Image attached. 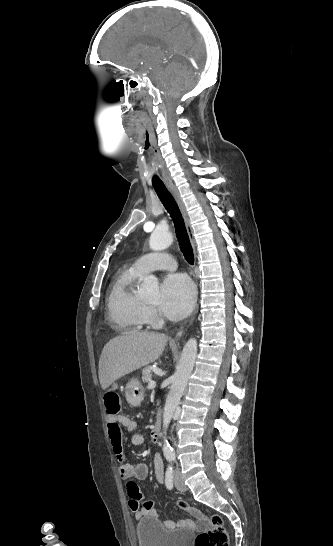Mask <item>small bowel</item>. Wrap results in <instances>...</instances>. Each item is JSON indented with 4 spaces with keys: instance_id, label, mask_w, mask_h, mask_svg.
I'll return each mask as SVG.
<instances>
[{
    "instance_id": "c3829d8e",
    "label": "small bowel",
    "mask_w": 333,
    "mask_h": 546,
    "mask_svg": "<svg viewBox=\"0 0 333 546\" xmlns=\"http://www.w3.org/2000/svg\"><path fill=\"white\" fill-rule=\"evenodd\" d=\"M108 392H116V387H108ZM107 411V409H106ZM107 427L108 435L111 446L114 453L117 456L119 461L118 472L122 479L126 482L127 493L130 498L129 507L134 513L135 518L139 519L143 515L157 516V513L154 508V503L152 501H142V494L135 482V480H143L148 476V466L144 463H129L126 462L122 453V439H121V428L124 426L129 431H134L137 428V423L122 415L118 414L117 417L112 418L107 413ZM145 442V439L140 434H133L131 436V443L133 445H142ZM154 472L155 477L159 483H162L165 479L164 474V465L162 458L159 455L154 457ZM201 521V520H200ZM185 523L181 521L180 524ZM166 526H172L173 522L164 521Z\"/></svg>"
}]
</instances>
